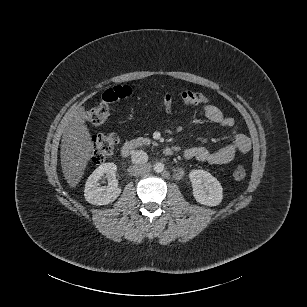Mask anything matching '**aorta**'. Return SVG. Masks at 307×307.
Returning a JSON list of instances; mask_svg holds the SVG:
<instances>
[{"label":"aorta","instance_id":"obj_1","mask_svg":"<svg viewBox=\"0 0 307 307\" xmlns=\"http://www.w3.org/2000/svg\"><path fill=\"white\" fill-rule=\"evenodd\" d=\"M153 168H154L155 172L161 173L164 170V164L160 163V162H157V163L154 164Z\"/></svg>","mask_w":307,"mask_h":307}]
</instances>
